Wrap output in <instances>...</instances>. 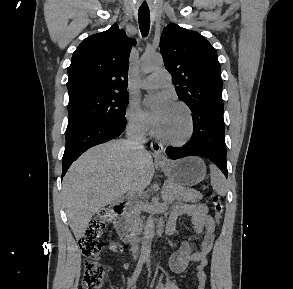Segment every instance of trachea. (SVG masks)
<instances>
[{
  "instance_id": "trachea-1",
  "label": "trachea",
  "mask_w": 293,
  "mask_h": 289,
  "mask_svg": "<svg viewBox=\"0 0 293 289\" xmlns=\"http://www.w3.org/2000/svg\"><path fill=\"white\" fill-rule=\"evenodd\" d=\"M138 21L142 35L147 36L150 28V11L148 8H140L138 10Z\"/></svg>"
}]
</instances>
